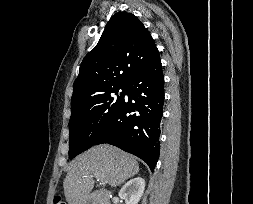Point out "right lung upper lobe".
I'll list each match as a JSON object with an SVG mask.
<instances>
[{
  "instance_id": "right-lung-upper-lobe-1",
  "label": "right lung upper lobe",
  "mask_w": 253,
  "mask_h": 204,
  "mask_svg": "<svg viewBox=\"0 0 253 204\" xmlns=\"http://www.w3.org/2000/svg\"><path fill=\"white\" fill-rule=\"evenodd\" d=\"M155 50L154 40L135 15L126 12L113 15L97 46L81 63L71 108L125 87Z\"/></svg>"
}]
</instances>
